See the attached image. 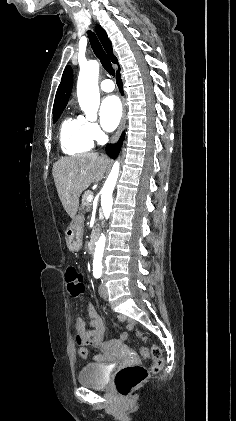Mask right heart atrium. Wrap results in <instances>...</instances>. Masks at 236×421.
Instances as JSON below:
<instances>
[{"label": "right heart atrium", "instance_id": "1", "mask_svg": "<svg viewBox=\"0 0 236 421\" xmlns=\"http://www.w3.org/2000/svg\"><path fill=\"white\" fill-rule=\"evenodd\" d=\"M82 119L91 138L95 141L100 140L103 134L97 122L87 117H82Z\"/></svg>", "mask_w": 236, "mask_h": 421}]
</instances>
